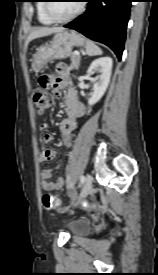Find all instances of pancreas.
Wrapping results in <instances>:
<instances>
[{"label":"pancreas","instance_id":"cf45deb5","mask_svg":"<svg viewBox=\"0 0 158 275\" xmlns=\"http://www.w3.org/2000/svg\"><path fill=\"white\" fill-rule=\"evenodd\" d=\"M70 57L72 68L78 69L80 64V56L76 55L75 53H72Z\"/></svg>","mask_w":158,"mask_h":275}]
</instances>
